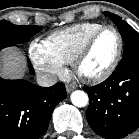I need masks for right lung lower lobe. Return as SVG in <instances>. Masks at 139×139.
Segmentation results:
<instances>
[{"instance_id":"obj_1","label":"right lung lower lobe","mask_w":139,"mask_h":139,"mask_svg":"<svg viewBox=\"0 0 139 139\" xmlns=\"http://www.w3.org/2000/svg\"><path fill=\"white\" fill-rule=\"evenodd\" d=\"M15 44H0V50ZM29 71L34 74L28 60ZM67 96L63 83L40 87L26 80L0 77V139H39L54 108Z\"/></svg>"}]
</instances>
